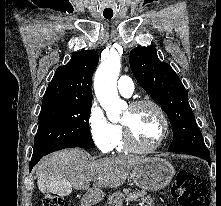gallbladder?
<instances>
[{
	"label": "gallbladder",
	"instance_id": "1",
	"mask_svg": "<svg viewBox=\"0 0 221 206\" xmlns=\"http://www.w3.org/2000/svg\"><path fill=\"white\" fill-rule=\"evenodd\" d=\"M37 190H43V194H59L63 198L70 192V181H38Z\"/></svg>",
	"mask_w": 221,
	"mask_h": 206
}]
</instances>
